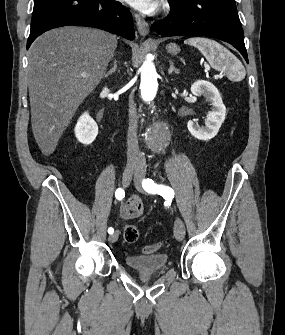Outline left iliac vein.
Listing matches in <instances>:
<instances>
[{
  "label": "left iliac vein",
  "mask_w": 285,
  "mask_h": 335,
  "mask_svg": "<svg viewBox=\"0 0 285 335\" xmlns=\"http://www.w3.org/2000/svg\"><path fill=\"white\" fill-rule=\"evenodd\" d=\"M134 183L139 192H144L142 187V177L140 173H137V175L134 178ZM174 236L177 240L182 241L185 237V225L183 221L180 218H176L174 223Z\"/></svg>",
  "instance_id": "4c4485c4"
}]
</instances>
